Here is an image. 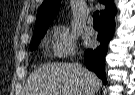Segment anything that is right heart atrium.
Instances as JSON below:
<instances>
[{
  "label": "right heart atrium",
  "instance_id": "d8ad5b80",
  "mask_svg": "<svg viewBox=\"0 0 135 95\" xmlns=\"http://www.w3.org/2000/svg\"><path fill=\"white\" fill-rule=\"evenodd\" d=\"M52 54L56 58H66L74 54L76 37L62 25L54 26L50 31Z\"/></svg>",
  "mask_w": 135,
  "mask_h": 95
}]
</instances>
